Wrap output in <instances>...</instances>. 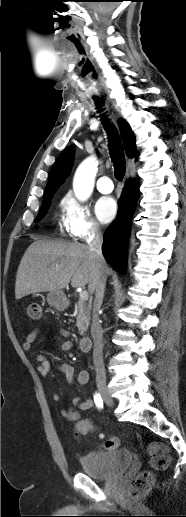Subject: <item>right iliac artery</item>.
<instances>
[{
    "instance_id": "right-iliac-artery-1",
    "label": "right iliac artery",
    "mask_w": 186,
    "mask_h": 517,
    "mask_svg": "<svg viewBox=\"0 0 186 517\" xmlns=\"http://www.w3.org/2000/svg\"><path fill=\"white\" fill-rule=\"evenodd\" d=\"M94 402H95L96 407H97L98 409H102V408H103V400H102V397H101V395H100L99 393H97V392L94 394Z\"/></svg>"
}]
</instances>
